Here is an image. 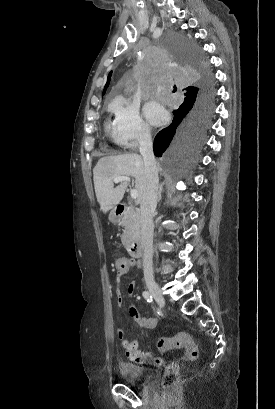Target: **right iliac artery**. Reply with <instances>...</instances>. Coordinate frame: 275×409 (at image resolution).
Instances as JSON below:
<instances>
[{
	"mask_svg": "<svg viewBox=\"0 0 275 409\" xmlns=\"http://www.w3.org/2000/svg\"><path fill=\"white\" fill-rule=\"evenodd\" d=\"M142 295L147 300V302H152L153 301V297H152L150 292L144 291Z\"/></svg>",
	"mask_w": 275,
	"mask_h": 409,
	"instance_id": "obj_1",
	"label": "right iliac artery"
}]
</instances>
